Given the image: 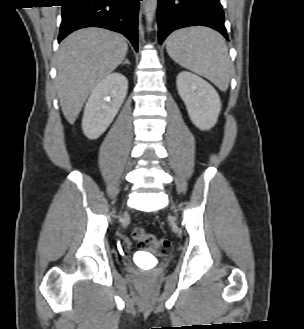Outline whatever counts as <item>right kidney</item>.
Returning <instances> with one entry per match:
<instances>
[{
  "label": "right kidney",
  "mask_w": 304,
  "mask_h": 329,
  "mask_svg": "<svg viewBox=\"0 0 304 329\" xmlns=\"http://www.w3.org/2000/svg\"><path fill=\"white\" fill-rule=\"evenodd\" d=\"M128 81L115 72L105 77L92 91L82 119V130L89 139L102 135L118 113L127 94Z\"/></svg>",
  "instance_id": "right-kidney-1"
}]
</instances>
